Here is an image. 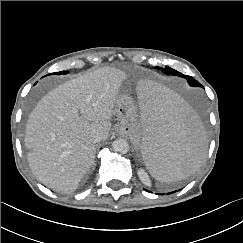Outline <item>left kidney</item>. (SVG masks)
<instances>
[{
	"mask_svg": "<svg viewBox=\"0 0 243 243\" xmlns=\"http://www.w3.org/2000/svg\"><path fill=\"white\" fill-rule=\"evenodd\" d=\"M138 176L144 185L151 186V180L148 174L145 172V170L143 169L138 170Z\"/></svg>",
	"mask_w": 243,
	"mask_h": 243,
	"instance_id": "obj_1",
	"label": "left kidney"
}]
</instances>
